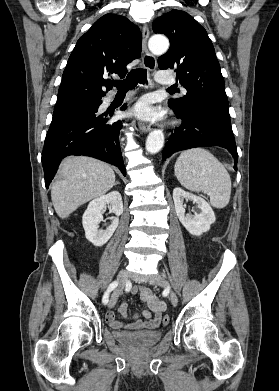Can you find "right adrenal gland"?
<instances>
[{
    "label": "right adrenal gland",
    "mask_w": 279,
    "mask_h": 391,
    "mask_svg": "<svg viewBox=\"0 0 279 391\" xmlns=\"http://www.w3.org/2000/svg\"><path fill=\"white\" fill-rule=\"evenodd\" d=\"M117 184H120V183L117 181V182H115V185H117Z\"/></svg>",
    "instance_id": "1"
}]
</instances>
